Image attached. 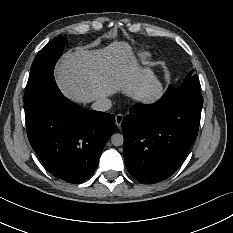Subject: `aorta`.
I'll use <instances>...</instances> for the list:
<instances>
[{
  "label": "aorta",
  "mask_w": 233,
  "mask_h": 233,
  "mask_svg": "<svg viewBox=\"0 0 233 233\" xmlns=\"http://www.w3.org/2000/svg\"><path fill=\"white\" fill-rule=\"evenodd\" d=\"M124 142V138H123V135L121 134H113L111 136V143L112 145L114 146H121Z\"/></svg>",
  "instance_id": "aorta-1"
}]
</instances>
